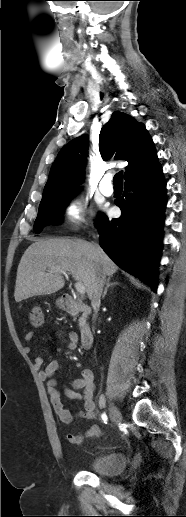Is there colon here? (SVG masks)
<instances>
[{"instance_id": "obj_1", "label": "colon", "mask_w": 186, "mask_h": 517, "mask_svg": "<svg viewBox=\"0 0 186 517\" xmlns=\"http://www.w3.org/2000/svg\"><path fill=\"white\" fill-rule=\"evenodd\" d=\"M30 325L34 328H40L44 324V314L39 307H34L29 313Z\"/></svg>"}]
</instances>
